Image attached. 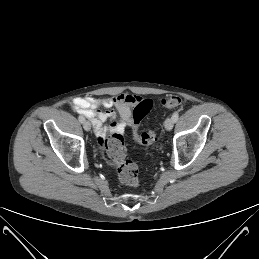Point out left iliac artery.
Returning <instances> with one entry per match:
<instances>
[{
  "mask_svg": "<svg viewBox=\"0 0 259 259\" xmlns=\"http://www.w3.org/2000/svg\"><path fill=\"white\" fill-rule=\"evenodd\" d=\"M178 118H179L178 112H174L173 115H172L173 121L176 122L178 120Z\"/></svg>",
  "mask_w": 259,
  "mask_h": 259,
  "instance_id": "1",
  "label": "left iliac artery"
}]
</instances>
